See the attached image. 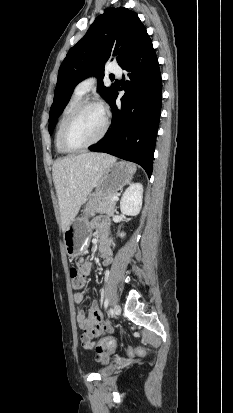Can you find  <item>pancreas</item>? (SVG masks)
<instances>
[{"instance_id":"pancreas-1","label":"pancreas","mask_w":233,"mask_h":413,"mask_svg":"<svg viewBox=\"0 0 233 413\" xmlns=\"http://www.w3.org/2000/svg\"><path fill=\"white\" fill-rule=\"evenodd\" d=\"M114 196L115 194H108L98 199L94 208L90 212V216H94L95 213H105L109 216H112L116 205V201L113 200Z\"/></svg>"}]
</instances>
